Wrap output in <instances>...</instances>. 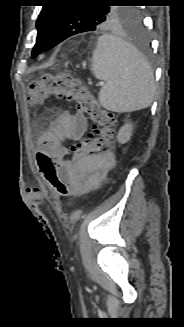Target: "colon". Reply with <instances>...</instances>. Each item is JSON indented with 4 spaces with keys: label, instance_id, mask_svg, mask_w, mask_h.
Returning <instances> with one entry per match:
<instances>
[{
    "label": "colon",
    "instance_id": "obj_1",
    "mask_svg": "<svg viewBox=\"0 0 184 327\" xmlns=\"http://www.w3.org/2000/svg\"><path fill=\"white\" fill-rule=\"evenodd\" d=\"M50 98H58L75 103L76 109L89 116L93 124L85 139L70 148L80 156H89L108 150L114 136L116 119L112 112L103 109L90 90L82 82L65 73H45L34 79L28 92V100L42 103ZM67 156L39 154L38 165L49 185L62 198L71 197L72 188L63 178Z\"/></svg>",
    "mask_w": 184,
    "mask_h": 327
}]
</instances>
